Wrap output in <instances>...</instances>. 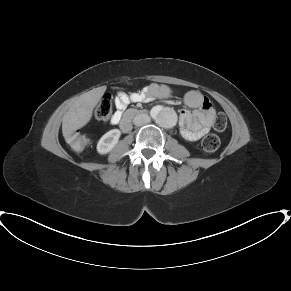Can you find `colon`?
Returning a JSON list of instances; mask_svg holds the SVG:
<instances>
[{"instance_id":"1","label":"colon","mask_w":291,"mask_h":291,"mask_svg":"<svg viewBox=\"0 0 291 291\" xmlns=\"http://www.w3.org/2000/svg\"><path fill=\"white\" fill-rule=\"evenodd\" d=\"M113 109L112 96L106 93L99 102L95 116L98 120L106 121L110 118ZM227 126V118L223 113H218L214 119V128L216 130H224ZM88 141V137L85 134H76L71 140L70 145L74 150H82ZM220 146V139L214 134L205 136L202 140V147L206 152H214Z\"/></svg>"}]
</instances>
